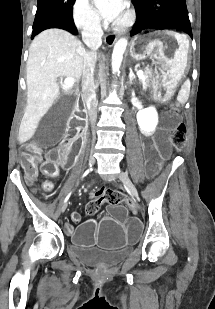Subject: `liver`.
<instances>
[{
    "mask_svg": "<svg viewBox=\"0 0 215 309\" xmlns=\"http://www.w3.org/2000/svg\"><path fill=\"white\" fill-rule=\"evenodd\" d=\"M84 52L87 50L81 40L61 28L42 30L32 40L27 60V106L19 128V142L33 136L40 118L58 98V78H74L78 84Z\"/></svg>",
    "mask_w": 215,
    "mask_h": 309,
    "instance_id": "1",
    "label": "liver"
}]
</instances>
